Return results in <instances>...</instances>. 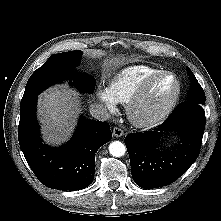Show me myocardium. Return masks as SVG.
I'll return each mask as SVG.
<instances>
[{"label":"myocardium","mask_w":221,"mask_h":221,"mask_svg":"<svg viewBox=\"0 0 221 221\" xmlns=\"http://www.w3.org/2000/svg\"><path fill=\"white\" fill-rule=\"evenodd\" d=\"M172 77L175 82V91L167 103L152 115L142 117L138 114V108L145 98L148 90L157 80L163 77ZM181 94V83L178 77L170 71H160L142 82L133 97L127 103L126 113L129 121L138 128H150L163 121L173 110Z\"/></svg>","instance_id":"obj_1"}]
</instances>
